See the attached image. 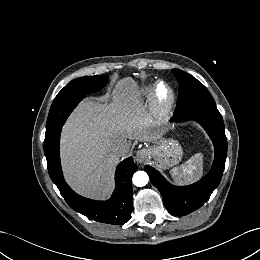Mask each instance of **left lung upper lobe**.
<instances>
[{
  "instance_id": "5c2ea615",
  "label": "left lung upper lobe",
  "mask_w": 260,
  "mask_h": 260,
  "mask_svg": "<svg viewBox=\"0 0 260 260\" xmlns=\"http://www.w3.org/2000/svg\"><path fill=\"white\" fill-rule=\"evenodd\" d=\"M172 72L180 83L175 114L195 106H216L207 88L197 79L179 69H173Z\"/></svg>"
}]
</instances>
